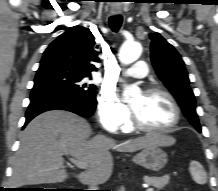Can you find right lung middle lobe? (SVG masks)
I'll list each match as a JSON object with an SVG mask.
<instances>
[{
	"instance_id": "1",
	"label": "right lung middle lobe",
	"mask_w": 218,
	"mask_h": 191,
	"mask_svg": "<svg viewBox=\"0 0 218 191\" xmlns=\"http://www.w3.org/2000/svg\"><path fill=\"white\" fill-rule=\"evenodd\" d=\"M88 77L90 75L81 73L62 61L42 58L33 88L56 87L87 101L96 102L97 88L86 82Z\"/></svg>"
}]
</instances>
